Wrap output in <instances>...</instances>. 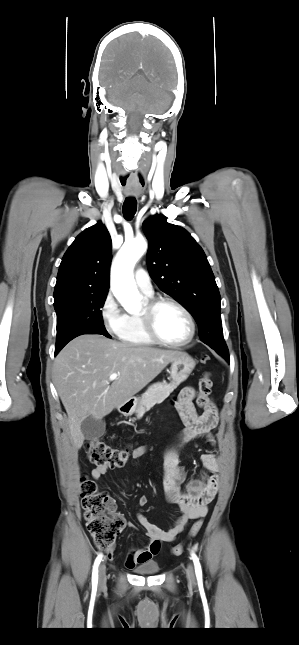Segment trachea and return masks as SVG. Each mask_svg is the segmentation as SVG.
Here are the masks:
<instances>
[{"instance_id":"obj_1","label":"trachea","mask_w":299,"mask_h":645,"mask_svg":"<svg viewBox=\"0 0 299 645\" xmlns=\"http://www.w3.org/2000/svg\"><path fill=\"white\" fill-rule=\"evenodd\" d=\"M137 209V201L134 197H127L123 203V215L130 220L134 217Z\"/></svg>"}]
</instances>
